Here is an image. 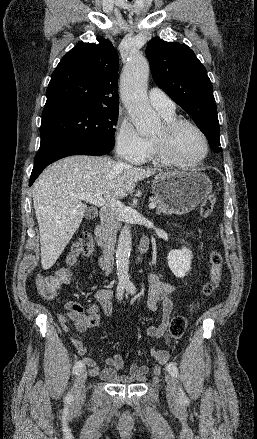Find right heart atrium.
<instances>
[{
	"label": "right heart atrium",
	"instance_id": "right-heart-atrium-1",
	"mask_svg": "<svg viewBox=\"0 0 257 439\" xmlns=\"http://www.w3.org/2000/svg\"><path fill=\"white\" fill-rule=\"evenodd\" d=\"M115 149L121 158L129 162L141 161L148 150L147 139L137 132L129 118L122 115L115 129Z\"/></svg>",
	"mask_w": 257,
	"mask_h": 439
}]
</instances>
